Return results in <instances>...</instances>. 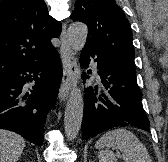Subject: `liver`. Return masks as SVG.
Wrapping results in <instances>:
<instances>
[{"label": "liver", "instance_id": "liver-1", "mask_svg": "<svg viewBox=\"0 0 168 162\" xmlns=\"http://www.w3.org/2000/svg\"><path fill=\"white\" fill-rule=\"evenodd\" d=\"M25 147V140L20 135L0 129V162H16Z\"/></svg>", "mask_w": 168, "mask_h": 162}]
</instances>
